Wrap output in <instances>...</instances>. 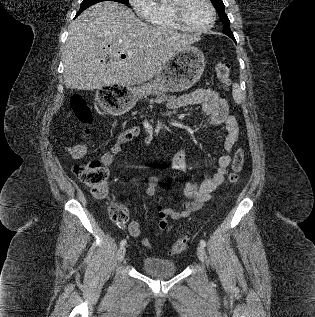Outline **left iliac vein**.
<instances>
[{"instance_id":"obj_1","label":"left iliac vein","mask_w":315,"mask_h":317,"mask_svg":"<svg viewBox=\"0 0 315 317\" xmlns=\"http://www.w3.org/2000/svg\"><path fill=\"white\" fill-rule=\"evenodd\" d=\"M197 255L201 262H204L206 257V251L203 246L199 245L197 247Z\"/></svg>"}]
</instances>
